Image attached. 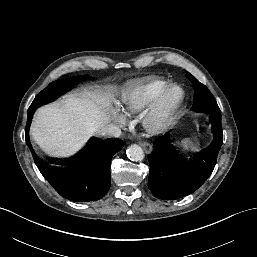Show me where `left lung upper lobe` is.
Masks as SVG:
<instances>
[{
	"instance_id": "1",
	"label": "left lung upper lobe",
	"mask_w": 257,
	"mask_h": 257,
	"mask_svg": "<svg viewBox=\"0 0 257 257\" xmlns=\"http://www.w3.org/2000/svg\"><path fill=\"white\" fill-rule=\"evenodd\" d=\"M187 77L193 84L195 90L193 106L207 113H221L217 102L208 88L200 83L193 75L187 72Z\"/></svg>"
}]
</instances>
